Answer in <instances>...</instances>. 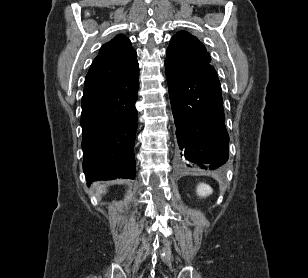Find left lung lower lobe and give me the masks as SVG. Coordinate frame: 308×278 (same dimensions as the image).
Instances as JSON below:
<instances>
[{"mask_svg":"<svg viewBox=\"0 0 308 278\" xmlns=\"http://www.w3.org/2000/svg\"><path fill=\"white\" fill-rule=\"evenodd\" d=\"M181 158L216 169L228 160L221 86L210 64L192 70L166 68ZM207 169V167H203Z\"/></svg>","mask_w":308,"mask_h":278,"instance_id":"obj_1","label":"left lung lower lobe"}]
</instances>
